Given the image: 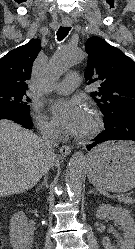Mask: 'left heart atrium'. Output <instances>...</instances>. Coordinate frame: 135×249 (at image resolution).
I'll list each match as a JSON object with an SVG mask.
<instances>
[{"instance_id": "39dd6f15", "label": "left heart atrium", "mask_w": 135, "mask_h": 249, "mask_svg": "<svg viewBox=\"0 0 135 249\" xmlns=\"http://www.w3.org/2000/svg\"><path fill=\"white\" fill-rule=\"evenodd\" d=\"M56 123L68 134H81L88 120V112L79 99L58 100L51 106Z\"/></svg>"}]
</instances>
